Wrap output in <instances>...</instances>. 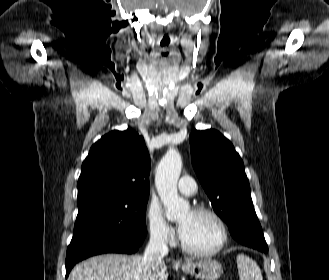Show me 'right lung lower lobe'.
<instances>
[{"label": "right lung lower lobe", "mask_w": 329, "mask_h": 280, "mask_svg": "<svg viewBox=\"0 0 329 280\" xmlns=\"http://www.w3.org/2000/svg\"><path fill=\"white\" fill-rule=\"evenodd\" d=\"M141 244L128 243L110 237L88 239L72 250L67 251L66 277H68L72 267L83 259L102 253H135Z\"/></svg>", "instance_id": "obj_1"}]
</instances>
